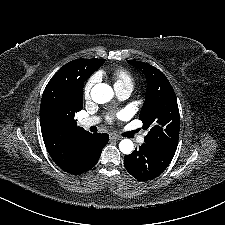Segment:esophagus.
<instances>
[{
    "label": "esophagus",
    "instance_id": "obj_1",
    "mask_svg": "<svg viewBox=\"0 0 225 225\" xmlns=\"http://www.w3.org/2000/svg\"><path fill=\"white\" fill-rule=\"evenodd\" d=\"M110 140H120L121 137H119L118 135L114 134V133H110L109 135Z\"/></svg>",
    "mask_w": 225,
    "mask_h": 225
}]
</instances>
